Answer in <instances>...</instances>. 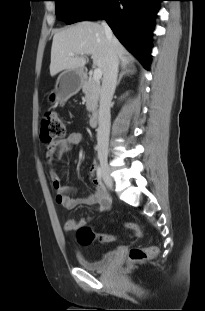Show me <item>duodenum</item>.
Listing matches in <instances>:
<instances>
[{
    "label": "duodenum",
    "instance_id": "1",
    "mask_svg": "<svg viewBox=\"0 0 205 311\" xmlns=\"http://www.w3.org/2000/svg\"><path fill=\"white\" fill-rule=\"evenodd\" d=\"M99 121V113L97 111H94L91 113L89 122L91 126H96Z\"/></svg>",
    "mask_w": 205,
    "mask_h": 311
}]
</instances>
